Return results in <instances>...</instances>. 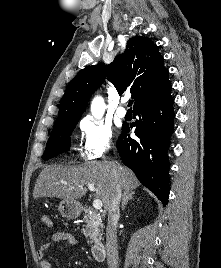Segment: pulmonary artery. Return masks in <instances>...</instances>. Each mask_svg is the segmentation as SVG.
Masks as SVG:
<instances>
[{
  "label": "pulmonary artery",
  "instance_id": "1",
  "mask_svg": "<svg viewBox=\"0 0 221 268\" xmlns=\"http://www.w3.org/2000/svg\"><path fill=\"white\" fill-rule=\"evenodd\" d=\"M124 103H125V100L122 101V104H124ZM116 113H117L118 117H120V118H124V117L126 116V114H127V111H126V109L121 105V106H119V107L117 108Z\"/></svg>",
  "mask_w": 221,
  "mask_h": 268
}]
</instances>
